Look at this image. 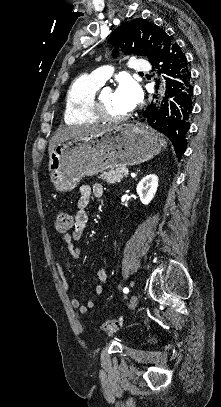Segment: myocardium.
Listing matches in <instances>:
<instances>
[{
	"label": "myocardium",
	"instance_id": "1",
	"mask_svg": "<svg viewBox=\"0 0 221 407\" xmlns=\"http://www.w3.org/2000/svg\"><path fill=\"white\" fill-rule=\"evenodd\" d=\"M92 113L99 120L109 121V122H120L128 119L131 113H126L123 115H114L109 112L105 102L101 98V95L95 97L94 103L92 105Z\"/></svg>",
	"mask_w": 221,
	"mask_h": 407
}]
</instances>
